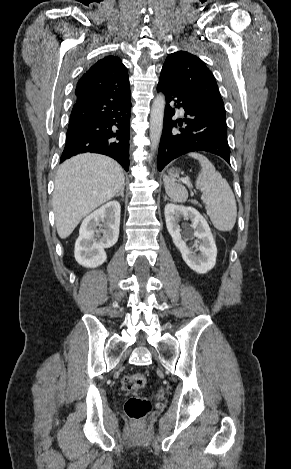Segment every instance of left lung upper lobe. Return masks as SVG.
<instances>
[{"instance_id":"left-lung-upper-lobe-1","label":"left lung upper lobe","mask_w":291,"mask_h":469,"mask_svg":"<svg viewBox=\"0 0 291 469\" xmlns=\"http://www.w3.org/2000/svg\"><path fill=\"white\" fill-rule=\"evenodd\" d=\"M159 80L178 92L225 111L213 74L201 59L188 52L170 54L162 67Z\"/></svg>"}]
</instances>
